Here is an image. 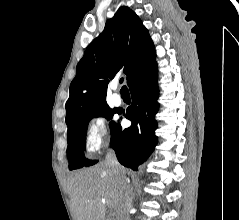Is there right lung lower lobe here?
Listing matches in <instances>:
<instances>
[{
	"label": "right lung lower lobe",
	"instance_id": "obj_1",
	"mask_svg": "<svg viewBox=\"0 0 239 220\" xmlns=\"http://www.w3.org/2000/svg\"><path fill=\"white\" fill-rule=\"evenodd\" d=\"M132 104L123 112L132 122L129 128L122 129L116 124L111 133V146L118 161L134 171L153 152L157 144L155 114L159 109L157 64L154 63L135 75L128 83Z\"/></svg>",
	"mask_w": 239,
	"mask_h": 220
}]
</instances>
